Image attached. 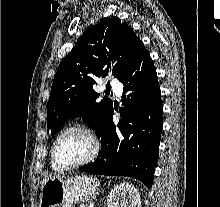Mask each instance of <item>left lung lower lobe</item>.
<instances>
[{
    "mask_svg": "<svg viewBox=\"0 0 220 207\" xmlns=\"http://www.w3.org/2000/svg\"><path fill=\"white\" fill-rule=\"evenodd\" d=\"M118 80L124 84L121 120L114 125L112 105L97 133L102 149L82 171L129 176L151 188L159 155L163 107L156 69L142 42Z\"/></svg>",
    "mask_w": 220,
    "mask_h": 207,
    "instance_id": "0a47b994",
    "label": "left lung lower lobe"
}]
</instances>
